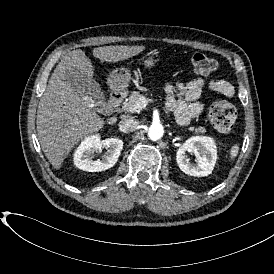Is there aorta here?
<instances>
[{
  "label": "aorta",
  "mask_w": 274,
  "mask_h": 274,
  "mask_svg": "<svg viewBox=\"0 0 274 274\" xmlns=\"http://www.w3.org/2000/svg\"><path fill=\"white\" fill-rule=\"evenodd\" d=\"M163 134V125L158 122H153L148 128V137L153 141L160 139Z\"/></svg>",
  "instance_id": "aorta-1"
}]
</instances>
